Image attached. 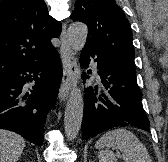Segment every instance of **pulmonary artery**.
<instances>
[{
    "mask_svg": "<svg viewBox=\"0 0 168 162\" xmlns=\"http://www.w3.org/2000/svg\"><path fill=\"white\" fill-rule=\"evenodd\" d=\"M92 66H93L95 74H97V63L96 62H92Z\"/></svg>",
    "mask_w": 168,
    "mask_h": 162,
    "instance_id": "e3ab8cb5",
    "label": "pulmonary artery"
}]
</instances>
